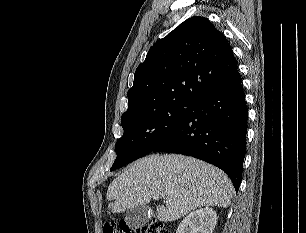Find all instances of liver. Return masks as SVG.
<instances>
[{
  "instance_id": "obj_1",
  "label": "liver",
  "mask_w": 306,
  "mask_h": 233,
  "mask_svg": "<svg viewBox=\"0 0 306 233\" xmlns=\"http://www.w3.org/2000/svg\"><path fill=\"white\" fill-rule=\"evenodd\" d=\"M234 187L219 168L196 158L150 155L131 164L107 190L108 208L121 213L162 197L157 219L171 222L196 208L231 204Z\"/></svg>"
}]
</instances>
